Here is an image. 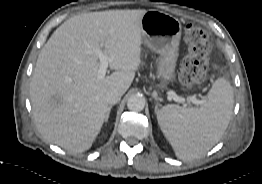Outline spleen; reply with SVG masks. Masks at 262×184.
<instances>
[{
  "instance_id": "1",
  "label": "spleen",
  "mask_w": 262,
  "mask_h": 184,
  "mask_svg": "<svg viewBox=\"0 0 262 184\" xmlns=\"http://www.w3.org/2000/svg\"><path fill=\"white\" fill-rule=\"evenodd\" d=\"M234 104L233 88L224 77L216 79L199 108L175 104L157 112L158 124L181 160H192L218 143L228 127Z\"/></svg>"
}]
</instances>
